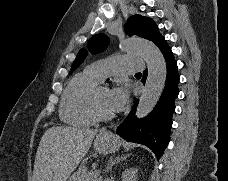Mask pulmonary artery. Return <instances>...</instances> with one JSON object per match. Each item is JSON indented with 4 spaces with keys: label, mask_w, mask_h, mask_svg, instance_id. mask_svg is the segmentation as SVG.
I'll return each instance as SVG.
<instances>
[{
    "label": "pulmonary artery",
    "mask_w": 228,
    "mask_h": 181,
    "mask_svg": "<svg viewBox=\"0 0 228 181\" xmlns=\"http://www.w3.org/2000/svg\"><path fill=\"white\" fill-rule=\"evenodd\" d=\"M139 57H106V62H94L89 65V75L99 79L112 75V71H142Z\"/></svg>",
    "instance_id": "e3ab8cb5"
}]
</instances>
